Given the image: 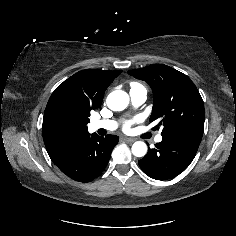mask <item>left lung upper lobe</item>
Segmentation results:
<instances>
[{
  "instance_id": "1",
  "label": "left lung upper lobe",
  "mask_w": 236,
  "mask_h": 236,
  "mask_svg": "<svg viewBox=\"0 0 236 236\" xmlns=\"http://www.w3.org/2000/svg\"><path fill=\"white\" fill-rule=\"evenodd\" d=\"M147 82L154 95L150 122H159L163 137L177 134H201L204 129V104L194 83L185 74L158 64L128 71Z\"/></svg>"
}]
</instances>
